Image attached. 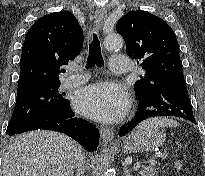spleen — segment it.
<instances>
[{"label": "spleen", "mask_w": 205, "mask_h": 176, "mask_svg": "<svg viewBox=\"0 0 205 176\" xmlns=\"http://www.w3.org/2000/svg\"><path fill=\"white\" fill-rule=\"evenodd\" d=\"M179 126V123L172 119L164 118V117H158V118H152L148 119L144 122H142L138 127H177Z\"/></svg>", "instance_id": "spleen-1"}]
</instances>
